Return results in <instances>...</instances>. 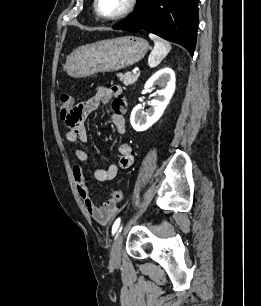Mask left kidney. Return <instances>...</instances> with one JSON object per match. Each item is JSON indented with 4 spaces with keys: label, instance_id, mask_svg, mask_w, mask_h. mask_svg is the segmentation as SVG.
Here are the masks:
<instances>
[{
    "label": "left kidney",
    "instance_id": "left-kidney-1",
    "mask_svg": "<svg viewBox=\"0 0 261 306\" xmlns=\"http://www.w3.org/2000/svg\"><path fill=\"white\" fill-rule=\"evenodd\" d=\"M175 82V73L170 68L159 70L146 82L144 88L147 92H150L154 85L161 89L157 92V98L151 101V108L147 113L142 111L141 104L133 109L130 122L135 131H145L160 119L174 94Z\"/></svg>",
    "mask_w": 261,
    "mask_h": 306
}]
</instances>
